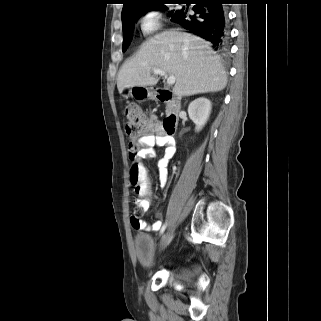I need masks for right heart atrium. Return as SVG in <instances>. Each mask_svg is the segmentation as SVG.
<instances>
[{"mask_svg": "<svg viewBox=\"0 0 321 321\" xmlns=\"http://www.w3.org/2000/svg\"><path fill=\"white\" fill-rule=\"evenodd\" d=\"M139 26L143 34H154L161 28L160 13L155 9L146 10L139 19Z\"/></svg>", "mask_w": 321, "mask_h": 321, "instance_id": "1", "label": "right heart atrium"}]
</instances>
